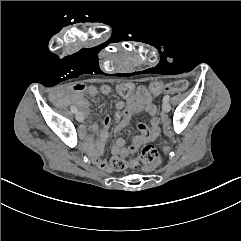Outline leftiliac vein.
<instances>
[{"label": "left iliac vein", "mask_w": 241, "mask_h": 241, "mask_svg": "<svg viewBox=\"0 0 241 241\" xmlns=\"http://www.w3.org/2000/svg\"><path fill=\"white\" fill-rule=\"evenodd\" d=\"M162 108H163L164 113H168L170 111L171 107H170V104L167 101H164L163 105H162Z\"/></svg>", "instance_id": "4c4485c4"}]
</instances>
